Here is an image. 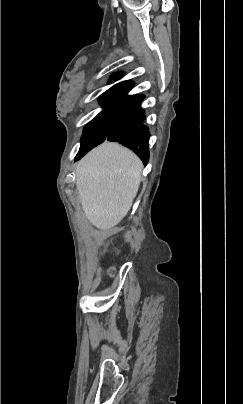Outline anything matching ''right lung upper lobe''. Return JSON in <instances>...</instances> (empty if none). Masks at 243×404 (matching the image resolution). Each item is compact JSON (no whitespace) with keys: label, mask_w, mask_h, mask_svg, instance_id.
I'll use <instances>...</instances> for the list:
<instances>
[{"label":"right lung upper lobe","mask_w":243,"mask_h":404,"mask_svg":"<svg viewBox=\"0 0 243 404\" xmlns=\"http://www.w3.org/2000/svg\"><path fill=\"white\" fill-rule=\"evenodd\" d=\"M121 74L114 76V80L119 79ZM133 83L124 81L111 87L100 97L102 104L117 103L129 105L137 100L144 98V95L126 96L127 92L132 88Z\"/></svg>","instance_id":"obj_1"}]
</instances>
